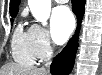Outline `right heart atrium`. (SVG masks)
Listing matches in <instances>:
<instances>
[{
	"label": "right heart atrium",
	"instance_id": "d8ad5b80",
	"mask_svg": "<svg viewBox=\"0 0 102 75\" xmlns=\"http://www.w3.org/2000/svg\"><path fill=\"white\" fill-rule=\"evenodd\" d=\"M29 31L36 58L41 60L47 59L53 51V45L47 30L38 24H33L30 26Z\"/></svg>",
	"mask_w": 102,
	"mask_h": 75
}]
</instances>
